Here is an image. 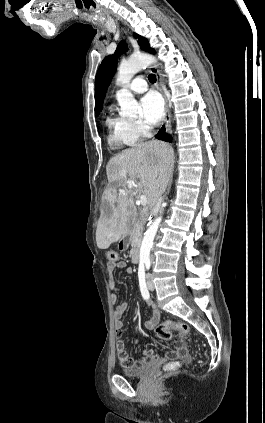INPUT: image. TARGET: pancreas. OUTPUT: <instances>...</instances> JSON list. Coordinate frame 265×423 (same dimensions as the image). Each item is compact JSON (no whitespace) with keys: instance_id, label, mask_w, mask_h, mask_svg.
<instances>
[{"instance_id":"cf45deb5","label":"pancreas","mask_w":265,"mask_h":423,"mask_svg":"<svg viewBox=\"0 0 265 423\" xmlns=\"http://www.w3.org/2000/svg\"><path fill=\"white\" fill-rule=\"evenodd\" d=\"M142 230H143L142 223L136 224L135 228L133 229V231L131 233V238H132V241H133V245H137L138 242L140 241Z\"/></svg>"}]
</instances>
